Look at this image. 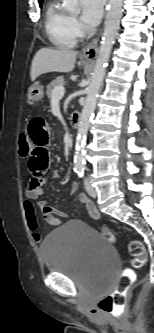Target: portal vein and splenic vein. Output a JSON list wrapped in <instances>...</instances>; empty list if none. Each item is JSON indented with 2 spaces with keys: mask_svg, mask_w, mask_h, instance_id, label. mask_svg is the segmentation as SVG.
Here are the masks:
<instances>
[{
  "mask_svg": "<svg viewBox=\"0 0 154 333\" xmlns=\"http://www.w3.org/2000/svg\"><path fill=\"white\" fill-rule=\"evenodd\" d=\"M65 93L64 86H57L52 91V98L62 99Z\"/></svg>",
  "mask_w": 154,
  "mask_h": 333,
  "instance_id": "portal-vein-and-splenic-vein-1",
  "label": "portal vein and splenic vein"
}]
</instances>
